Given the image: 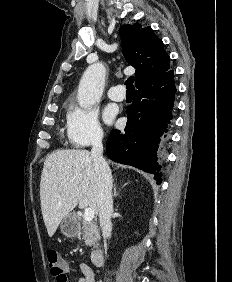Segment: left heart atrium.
Masks as SVG:
<instances>
[{"mask_svg":"<svg viewBox=\"0 0 232 282\" xmlns=\"http://www.w3.org/2000/svg\"><path fill=\"white\" fill-rule=\"evenodd\" d=\"M104 118L107 122H111L114 118V111L110 108L106 109L104 113Z\"/></svg>","mask_w":232,"mask_h":282,"instance_id":"1","label":"left heart atrium"}]
</instances>
